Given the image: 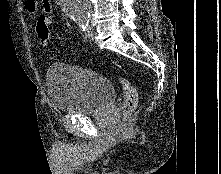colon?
<instances>
[{"label":"colon","instance_id":"colon-1","mask_svg":"<svg viewBox=\"0 0 221 174\" xmlns=\"http://www.w3.org/2000/svg\"><path fill=\"white\" fill-rule=\"evenodd\" d=\"M36 32L38 37L45 43L51 41L49 21L45 16H40L37 25ZM118 81L123 89L124 103L122 106V112L125 117L130 116L137 107L138 93L134 85L124 77H119Z\"/></svg>","mask_w":221,"mask_h":174}]
</instances>
